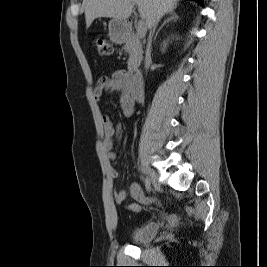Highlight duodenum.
<instances>
[{"label": "duodenum", "mask_w": 267, "mask_h": 267, "mask_svg": "<svg viewBox=\"0 0 267 267\" xmlns=\"http://www.w3.org/2000/svg\"><path fill=\"white\" fill-rule=\"evenodd\" d=\"M130 93L136 101H140L143 98L142 77L138 71H133L131 74Z\"/></svg>", "instance_id": "410a0bca"}]
</instances>
